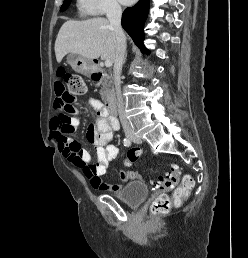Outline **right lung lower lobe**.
<instances>
[{
  "instance_id": "98d812e1",
  "label": "right lung lower lobe",
  "mask_w": 248,
  "mask_h": 258,
  "mask_svg": "<svg viewBox=\"0 0 248 258\" xmlns=\"http://www.w3.org/2000/svg\"><path fill=\"white\" fill-rule=\"evenodd\" d=\"M149 1L150 0H139L133 7L125 9L122 16V27L143 53H148V50L143 44V27L148 14Z\"/></svg>"
}]
</instances>
